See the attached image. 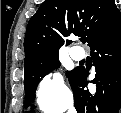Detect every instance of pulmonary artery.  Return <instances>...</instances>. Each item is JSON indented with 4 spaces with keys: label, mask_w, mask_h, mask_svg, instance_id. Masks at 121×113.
Wrapping results in <instances>:
<instances>
[{
    "label": "pulmonary artery",
    "mask_w": 121,
    "mask_h": 113,
    "mask_svg": "<svg viewBox=\"0 0 121 113\" xmlns=\"http://www.w3.org/2000/svg\"><path fill=\"white\" fill-rule=\"evenodd\" d=\"M70 54H71V57L74 60H77V61H79V60H81V59H83L85 57V52L83 50H81V49L76 48V47H73L71 49Z\"/></svg>",
    "instance_id": "obj_1"
}]
</instances>
